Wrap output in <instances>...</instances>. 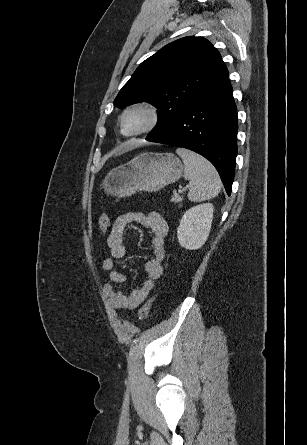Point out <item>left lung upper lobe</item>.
I'll return each instance as SVG.
<instances>
[{
  "label": "left lung upper lobe",
  "mask_w": 307,
  "mask_h": 445,
  "mask_svg": "<svg viewBox=\"0 0 307 445\" xmlns=\"http://www.w3.org/2000/svg\"><path fill=\"white\" fill-rule=\"evenodd\" d=\"M228 76L219 52L202 37L176 40L146 59L114 100L119 108L148 102L159 119L147 138L166 129L183 111Z\"/></svg>",
  "instance_id": "obj_1"
}]
</instances>
